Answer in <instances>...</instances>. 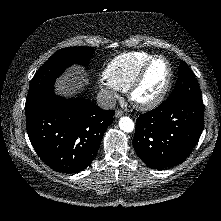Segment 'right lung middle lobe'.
I'll list each match as a JSON object with an SVG mask.
<instances>
[{
	"instance_id": "1",
	"label": "right lung middle lobe",
	"mask_w": 221,
	"mask_h": 221,
	"mask_svg": "<svg viewBox=\"0 0 221 221\" xmlns=\"http://www.w3.org/2000/svg\"><path fill=\"white\" fill-rule=\"evenodd\" d=\"M93 47H69L55 52L37 71L30 82L27 99L55 81L72 64L86 65L93 56Z\"/></svg>"
}]
</instances>
